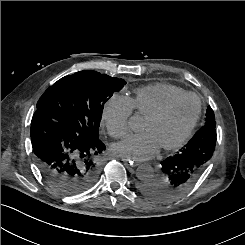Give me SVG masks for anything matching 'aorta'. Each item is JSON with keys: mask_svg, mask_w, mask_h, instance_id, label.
Segmentation results:
<instances>
[{"mask_svg": "<svg viewBox=\"0 0 245 245\" xmlns=\"http://www.w3.org/2000/svg\"><path fill=\"white\" fill-rule=\"evenodd\" d=\"M154 175V169L148 164L141 165L137 168V177L141 180H149Z\"/></svg>", "mask_w": 245, "mask_h": 245, "instance_id": "1", "label": "aorta"}]
</instances>
